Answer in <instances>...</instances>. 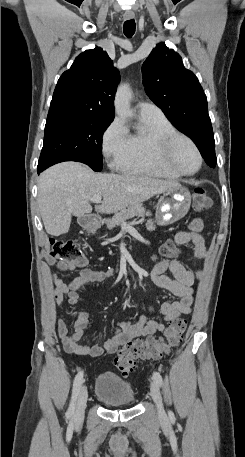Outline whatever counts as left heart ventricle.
<instances>
[{"label": "left heart ventricle", "instance_id": "1", "mask_svg": "<svg viewBox=\"0 0 245 457\" xmlns=\"http://www.w3.org/2000/svg\"><path fill=\"white\" fill-rule=\"evenodd\" d=\"M162 158L174 167L186 172L194 170L197 165L196 156L184 140L178 141L172 149L162 155Z\"/></svg>", "mask_w": 245, "mask_h": 457}]
</instances>
